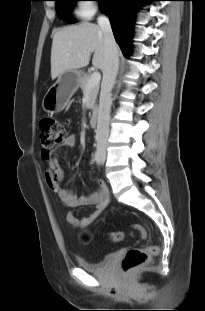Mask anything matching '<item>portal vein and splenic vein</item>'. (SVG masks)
I'll return each mask as SVG.
<instances>
[{"label":"portal vein and splenic vein","mask_w":205,"mask_h":311,"mask_svg":"<svg viewBox=\"0 0 205 311\" xmlns=\"http://www.w3.org/2000/svg\"><path fill=\"white\" fill-rule=\"evenodd\" d=\"M100 80H101V74H100V72H97V71L94 72V73L91 75L90 80L88 81L87 88L90 89V88L94 87L95 85H99Z\"/></svg>","instance_id":"18ae733b"}]
</instances>
